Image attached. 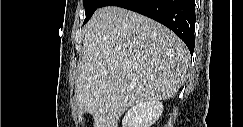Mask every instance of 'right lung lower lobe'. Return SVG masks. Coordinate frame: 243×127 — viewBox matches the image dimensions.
Segmentation results:
<instances>
[{"label":"right lung lower lobe","instance_id":"obj_1","mask_svg":"<svg viewBox=\"0 0 243 127\" xmlns=\"http://www.w3.org/2000/svg\"><path fill=\"white\" fill-rule=\"evenodd\" d=\"M104 6L122 7L156 20L180 37L193 53L195 0H105Z\"/></svg>","mask_w":243,"mask_h":127}]
</instances>
